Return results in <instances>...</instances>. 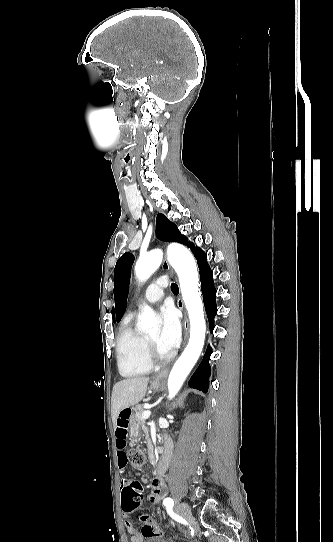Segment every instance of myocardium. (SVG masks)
I'll list each match as a JSON object with an SVG mask.
<instances>
[{
	"label": "myocardium",
	"mask_w": 333,
	"mask_h": 542,
	"mask_svg": "<svg viewBox=\"0 0 333 542\" xmlns=\"http://www.w3.org/2000/svg\"><path fill=\"white\" fill-rule=\"evenodd\" d=\"M144 355H145L147 361L152 365H164V364H167L174 357V354H169L166 357L160 356L156 352L153 343L147 337L144 339Z\"/></svg>",
	"instance_id": "myocardium-1"
}]
</instances>
